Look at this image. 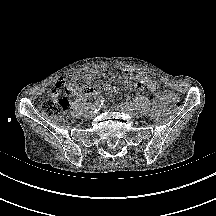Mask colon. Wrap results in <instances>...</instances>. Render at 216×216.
I'll return each mask as SVG.
<instances>
[{
    "label": "colon",
    "mask_w": 216,
    "mask_h": 216,
    "mask_svg": "<svg viewBox=\"0 0 216 216\" xmlns=\"http://www.w3.org/2000/svg\"><path fill=\"white\" fill-rule=\"evenodd\" d=\"M76 87L77 83L73 80H67L65 78L58 79L51 88L49 97L43 101L41 105L42 111L55 120L61 122L66 121L69 104L68 97ZM168 101L170 103V110L178 112L181 107V102L177 95L169 93Z\"/></svg>",
    "instance_id": "obj_1"
}]
</instances>
